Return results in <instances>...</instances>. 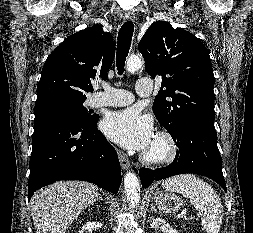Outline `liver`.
Instances as JSON below:
<instances>
[{"label":"liver","instance_id":"obj_1","mask_svg":"<svg viewBox=\"0 0 253 233\" xmlns=\"http://www.w3.org/2000/svg\"><path fill=\"white\" fill-rule=\"evenodd\" d=\"M97 196L94 184L81 181H59L38 191L30 204L36 233H66Z\"/></svg>","mask_w":253,"mask_h":233}]
</instances>
